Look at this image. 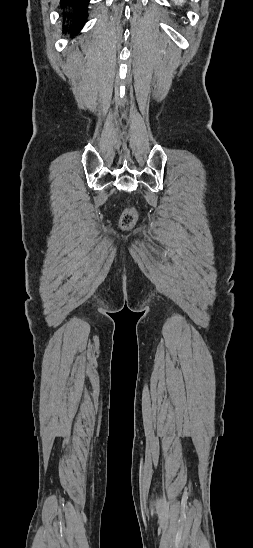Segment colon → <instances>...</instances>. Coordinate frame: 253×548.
Listing matches in <instances>:
<instances>
[{"mask_svg":"<svg viewBox=\"0 0 253 548\" xmlns=\"http://www.w3.org/2000/svg\"><path fill=\"white\" fill-rule=\"evenodd\" d=\"M136 219H137V215L135 210L127 209L121 217V221H120L121 227L123 229L131 228L135 224Z\"/></svg>","mask_w":253,"mask_h":548,"instance_id":"5ec220e1","label":"colon"}]
</instances>
